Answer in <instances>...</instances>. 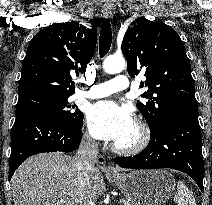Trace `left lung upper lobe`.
Listing matches in <instances>:
<instances>
[{
	"mask_svg": "<svg viewBox=\"0 0 212 205\" xmlns=\"http://www.w3.org/2000/svg\"><path fill=\"white\" fill-rule=\"evenodd\" d=\"M122 52L131 77L145 73L140 87L149 89L137 108L155 131L175 111L197 107L190 61L183 41L170 26L138 18L127 29Z\"/></svg>",
	"mask_w": 212,
	"mask_h": 205,
	"instance_id": "left-lung-upper-lobe-1",
	"label": "left lung upper lobe"
}]
</instances>
